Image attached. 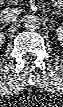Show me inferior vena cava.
Segmentation results:
<instances>
[{
	"label": "inferior vena cava",
	"mask_w": 63,
	"mask_h": 107,
	"mask_svg": "<svg viewBox=\"0 0 63 107\" xmlns=\"http://www.w3.org/2000/svg\"><path fill=\"white\" fill-rule=\"evenodd\" d=\"M18 11L15 8H5L0 11V22L1 23H11L16 20Z\"/></svg>",
	"instance_id": "inferior-vena-cava-1"
}]
</instances>
